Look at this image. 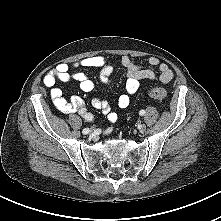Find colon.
<instances>
[{
  "label": "colon",
  "mask_w": 221,
  "mask_h": 221,
  "mask_svg": "<svg viewBox=\"0 0 221 221\" xmlns=\"http://www.w3.org/2000/svg\"><path fill=\"white\" fill-rule=\"evenodd\" d=\"M148 94L152 99L163 100L165 99L167 92L163 87L153 86L148 90Z\"/></svg>",
  "instance_id": "5ec220e1"
}]
</instances>
